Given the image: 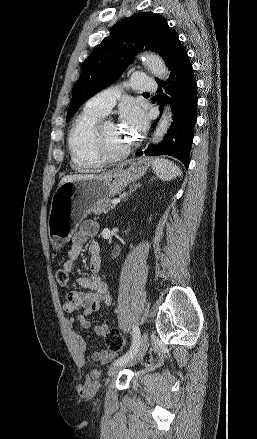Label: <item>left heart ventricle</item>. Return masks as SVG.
I'll return each instance as SVG.
<instances>
[{"instance_id":"b2bd125f","label":"left heart ventricle","mask_w":257,"mask_h":439,"mask_svg":"<svg viewBox=\"0 0 257 439\" xmlns=\"http://www.w3.org/2000/svg\"><path fill=\"white\" fill-rule=\"evenodd\" d=\"M102 132L107 147L112 151H118L129 144L117 125L107 124L102 127Z\"/></svg>"}]
</instances>
